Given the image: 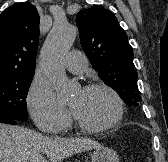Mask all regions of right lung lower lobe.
I'll return each instance as SVG.
<instances>
[{
    "mask_svg": "<svg viewBox=\"0 0 168 162\" xmlns=\"http://www.w3.org/2000/svg\"><path fill=\"white\" fill-rule=\"evenodd\" d=\"M0 122L15 125L17 120L7 119V118H0Z\"/></svg>",
    "mask_w": 168,
    "mask_h": 162,
    "instance_id": "1",
    "label": "right lung lower lobe"
}]
</instances>
